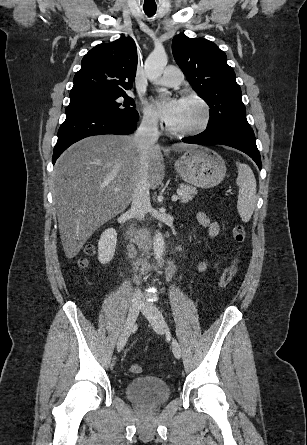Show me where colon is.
Masks as SVG:
<instances>
[{
  "label": "colon",
  "instance_id": "1",
  "mask_svg": "<svg viewBox=\"0 0 307 445\" xmlns=\"http://www.w3.org/2000/svg\"><path fill=\"white\" fill-rule=\"evenodd\" d=\"M233 239L237 243V249H236V253L233 257L232 262L230 263V265H228L225 268L224 272L222 273V276H221L220 282H219V285L221 288L227 287L236 273L237 265H238V261H239V257H240V253H241V249H242V243L246 239V230L243 225H236L233 228ZM92 252H93V248L92 247L88 248V253L91 254ZM81 263H82V265H84L85 261L82 260ZM129 371L131 373H140L141 367L138 364H131L129 367Z\"/></svg>",
  "mask_w": 307,
  "mask_h": 445
}]
</instances>
